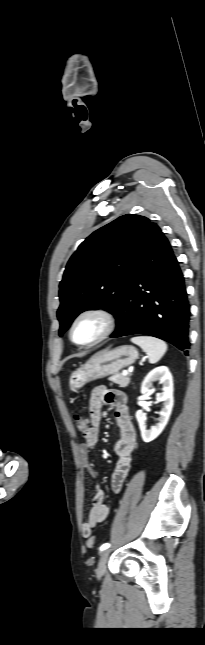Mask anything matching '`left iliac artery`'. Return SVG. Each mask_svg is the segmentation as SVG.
I'll list each match as a JSON object with an SVG mask.
<instances>
[{"label":"left iliac artery","instance_id":"44dca946","mask_svg":"<svg viewBox=\"0 0 205 645\" xmlns=\"http://www.w3.org/2000/svg\"><path fill=\"white\" fill-rule=\"evenodd\" d=\"M109 547H110V544H109V543H104L103 545H101V547H100V551L106 550V549H108Z\"/></svg>","mask_w":205,"mask_h":645}]
</instances>
